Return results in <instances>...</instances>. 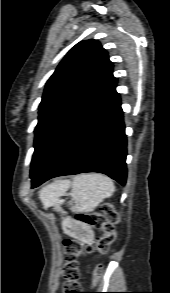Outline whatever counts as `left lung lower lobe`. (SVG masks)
I'll return each mask as SVG.
<instances>
[{
  "instance_id": "obj_1",
  "label": "left lung lower lobe",
  "mask_w": 170,
  "mask_h": 293,
  "mask_svg": "<svg viewBox=\"0 0 170 293\" xmlns=\"http://www.w3.org/2000/svg\"><path fill=\"white\" fill-rule=\"evenodd\" d=\"M125 126L120 96L115 88L83 123L46 170L32 179V188L57 176L99 172L125 185Z\"/></svg>"
}]
</instances>
